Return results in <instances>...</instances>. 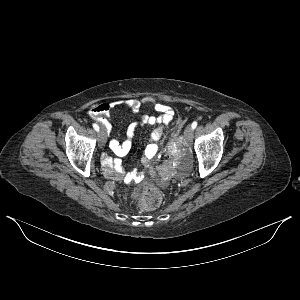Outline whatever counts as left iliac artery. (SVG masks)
Segmentation results:
<instances>
[{
    "label": "left iliac artery",
    "instance_id": "44dca946",
    "mask_svg": "<svg viewBox=\"0 0 300 300\" xmlns=\"http://www.w3.org/2000/svg\"><path fill=\"white\" fill-rule=\"evenodd\" d=\"M197 124H198L197 121H194L191 125L192 129H195L197 127Z\"/></svg>",
    "mask_w": 300,
    "mask_h": 300
}]
</instances>
